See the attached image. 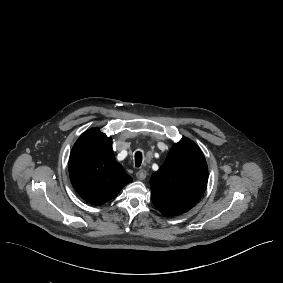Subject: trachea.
Instances as JSON below:
<instances>
[{
    "label": "trachea",
    "instance_id": "3493384b",
    "mask_svg": "<svg viewBox=\"0 0 283 283\" xmlns=\"http://www.w3.org/2000/svg\"><path fill=\"white\" fill-rule=\"evenodd\" d=\"M143 155L140 151L135 153V166L140 167L142 163Z\"/></svg>",
    "mask_w": 283,
    "mask_h": 283
}]
</instances>
